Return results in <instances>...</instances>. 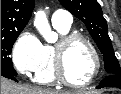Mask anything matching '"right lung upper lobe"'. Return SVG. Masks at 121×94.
<instances>
[{"label": "right lung upper lobe", "mask_w": 121, "mask_h": 94, "mask_svg": "<svg viewBox=\"0 0 121 94\" xmlns=\"http://www.w3.org/2000/svg\"><path fill=\"white\" fill-rule=\"evenodd\" d=\"M34 8V0H1V33L23 30Z\"/></svg>", "instance_id": "obj_1"}]
</instances>
